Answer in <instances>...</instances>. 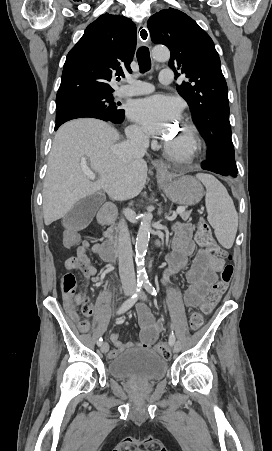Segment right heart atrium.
Segmentation results:
<instances>
[{
    "instance_id": "1",
    "label": "right heart atrium",
    "mask_w": 272,
    "mask_h": 451,
    "mask_svg": "<svg viewBox=\"0 0 272 451\" xmlns=\"http://www.w3.org/2000/svg\"><path fill=\"white\" fill-rule=\"evenodd\" d=\"M131 130L134 134H139L140 133V128L137 125H132L131 126Z\"/></svg>"
}]
</instances>
